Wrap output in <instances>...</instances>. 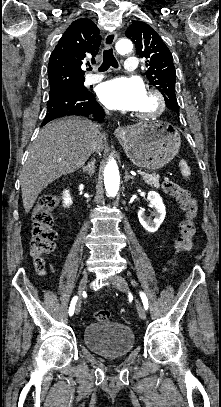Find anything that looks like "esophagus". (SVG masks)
<instances>
[{"label": "esophagus", "mask_w": 221, "mask_h": 407, "mask_svg": "<svg viewBox=\"0 0 221 407\" xmlns=\"http://www.w3.org/2000/svg\"><path fill=\"white\" fill-rule=\"evenodd\" d=\"M117 38V33L116 32H109L106 34L105 38H104V47L105 48H110L113 46V44L115 43ZM126 133V128L124 127H117L114 130V134L116 137H122L124 136V134Z\"/></svg>", "instance_id": "1"}]
</instances>
